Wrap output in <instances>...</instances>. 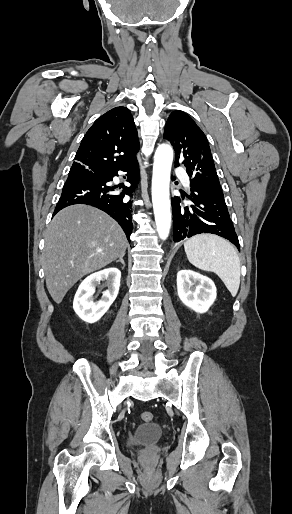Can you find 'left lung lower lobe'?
Here are the masks:
<instances>
[{"label":"left lung lower lobe","instance_id":"left-lung-lower-lobe-1","mask_svg":"<svg viewBox=\"0 0 292 514\" xmlns=\"http://www.w3.org/2000/svg\"><path fill=\"white\" fill-rule=\"evenodd\" d=\"M186 196L192 201L191 205H180V197L171 200L174 242L200 233H211L240 248L223 194L208 193L191 186V194Z\"/></svg>","mask_w":292,"mask_h":514}]
</instances>
